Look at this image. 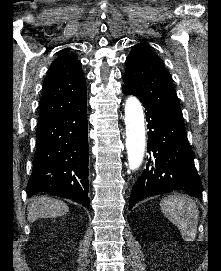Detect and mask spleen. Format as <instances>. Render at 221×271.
Returning <instances> with one entry per match:
<instances>
[{"mask_svg":"<svg viewBox=\"0 0 221 271\" xmlns=\"http://www.w3.org/2000/svg\"><path fill=\"white\" fill-rule=\"evenodd\" d=\"M162 213L178 227L184 241H194L197 233L199 209L194 199L186 195H168L160 201Z\"/></svg>","mask_w":221,"mask_h":271,"instance_id":"3e777b00","label":"spleen"}]
</instances>
